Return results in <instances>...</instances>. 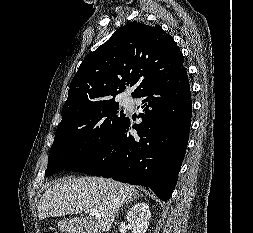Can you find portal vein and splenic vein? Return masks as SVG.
I'll use <instances>...</instances> for the list:
<instances>
[{
	"instance_id": "obj_1",
	"label": "portal vein and splenic vein",
	"mask_w": 253,
	"mask_h": 233,
	"mask_svg": "<svg viewBox=\"0 0 253 233\" xmlns=\"http://www.w3.org/2000/svg\"><path fill=\"white\" fill-rule=\"evenodd\" d=\"M89 211H90V214H91V215H94V216H99V212H98V210H97V209L92 208V209H90Z\"/></svg>"
}]
</instances>
